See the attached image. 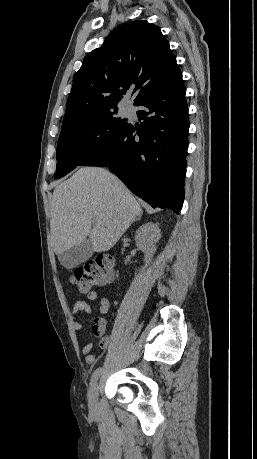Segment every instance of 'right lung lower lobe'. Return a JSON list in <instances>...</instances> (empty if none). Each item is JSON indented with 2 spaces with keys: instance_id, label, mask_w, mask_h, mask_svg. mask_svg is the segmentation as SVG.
<instances>
[{
  "instance_id": "98d812e1",
  "label": "right lung lower lobe",
  "mask_w": 257,
  "mask_h": 459,
  "mask_svg": "<svg viewBox=\"0 0 257 459\" xmlns=\"http://www.w3.org/2000/svg\"><path fill=\"white\" fill-rule=\"evenodd\" d=\"M180 73L142 98L136 106L140 127L129 124L103 153L81 166H108L153 208L179 214L184 200L188 107Z\"/></svg>"
}]
</instances>
